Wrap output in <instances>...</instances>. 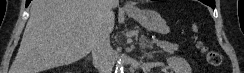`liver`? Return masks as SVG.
Masks as SVG:
<instances>
[{
	"label": "liver",
	"instance_id": "6515ba94",
	"mask_svg": "<svg viewBox=\"0 0 244 73\" xmlns=\"http://www.w3.org/2000/svg\"><path fill=\"white\" fill-rule=\"evenodd\" d=\"M33 0L20 47L9 73H40L68 65L92 50L97 35L113 31L117 2Z\"/></svg>",
	"mask_w": 244,
	"mask_h": 73
}]
</instances>
